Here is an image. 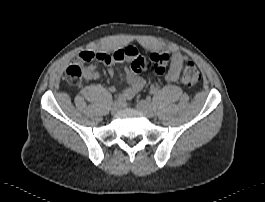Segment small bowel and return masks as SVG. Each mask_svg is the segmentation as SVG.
I'll use <instances>...</instances> for the list:
<instances>
[{"label": "small bowel", "instance_id": "small-bowel-1", "mask_svg": "<svg viewBox=\"0 0 265 202\" xmlns=\"http://www.w3.org/2000/svg\"><path fill=\"white\" fill-rule=\"evenodd\" d=\"M128 51H133L135 55L138 53L134 47L126 48ZM108 55L105 52H94L83 50L80 51L76 57L75 62L83 64L84 67V77L87 80H96L99 78V73L97 68L91 62L98 60L105 62L108 66V72L111 77L116 74V65L124 61L130 62L133 57H126L120 61H108ZM171 65L166 73V80L169 82H177L181 76L184 68V64L189 61L188 57L181 53H173L171 55ZM125 77L127 82V87L121 92L120 96L124 100L132 99L145 85V80L137 75L131 67L125 68ZM115 87L110 86L109 91L115 92Z\"/></svg>", "mask_w": 265, "mask_h": 202}]
</instances>
